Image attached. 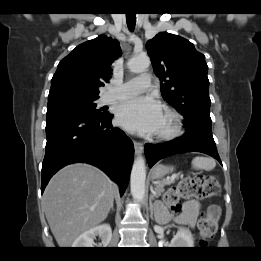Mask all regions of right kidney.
<instances>
[{
    "mask_svg": "<svg viewBox=\"0 0 261 261\" xmlns=\"http://www.w3.org/2000/svg\"><path fill=\"white\" fill-rule=\"evenodd\" d=\"M99 236L102 241L103 247H107L112 238V230L109 224H102L95 226L83 234H81L73 242V248H90L93 247L94 238Z\"/></svg>",
    "mask_w": 261,
    "mask_h": 261,
    "instance_id": "ca27d5eb",
    "label": "right kidney"
}]
</instances>
